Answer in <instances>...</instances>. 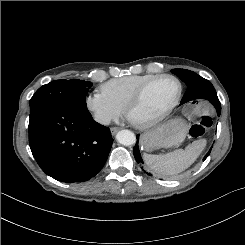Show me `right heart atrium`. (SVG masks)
<instances>
[{
    "label": "right heart atrium",
    "instance_id": "1",
    "mask_svg": "<svg viewBox=\"0 0 245 245\" xmlns=\"http://www.w3.org/2000/svg\"><path fill=\"white\" fill-rule=\"evenodd\" d=\"M85 107L96 122L105 126L119 119L124 112L102 91H94L88 94L85 98Z\"/></svg>",
    "mask_w": 245,
    "mask_h": 245
}]
</instances>
